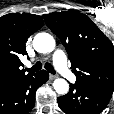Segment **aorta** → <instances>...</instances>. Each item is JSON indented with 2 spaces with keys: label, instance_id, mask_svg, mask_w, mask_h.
<instances>
[{
  "label": "aorta",
  "instance_id": "1",
  "mask_svg": "<svg viewBox=\"0 0 114 114\" xmlns=\"http://www.w3.org/2000/svg\"><path fill=\"white\" fill-rule=\"evenodd\" d=\"M33 47L39 53H49L55 48V40L48 33H38L33 40ZM53 87L58 94L64 95L69 90V84L65 79L58 78L53 82Z\"/></svg>",
  "mask_w": 114,
  "mask_h": 114
}]
</instances>
